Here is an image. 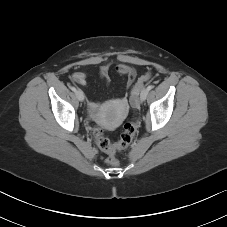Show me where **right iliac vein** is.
I'll list each match as a JSON object with an SVG mask.
<instances>
[{"mask_svg":"<svg viewBox=\"0 0 227 227\" xmlns=\"http://www.w3.org/2000/svg\"><path fill=\"white\" fill-rule=\"evenodd\" d=\"M75 94H76V97H77V99H78L79 101H83V100H84L85 95H84L83 91L77 90V91L75 92Z\"/></svg>","mask_w":227,"mask_h":227,"instance_id":"1","label":"right iliac vein"}]
</instances>
